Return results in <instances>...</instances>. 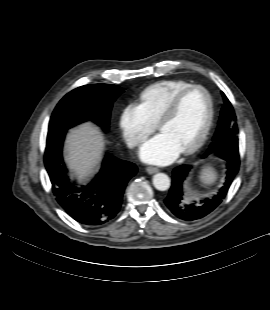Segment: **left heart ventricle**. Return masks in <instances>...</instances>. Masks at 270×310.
Wrapping results in <instances>:
<instances>
[{"label":"left heart ventricle","instance_id":"b2bd125f","mask_svg":"<svg viewBox=\"0 0 270 310\" xmlns=\"http://www.w3.org/2000/svg\"><path fill=\"white\" fill-rule=\"evenodd\" d=\"M208 112L206 95L200 90L187 93L174 116L160 127V132L183 151L201 134Z\"/></svg>","mask_w":270,"mask_h":310}]
</instances>
